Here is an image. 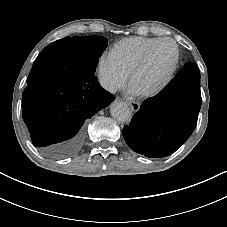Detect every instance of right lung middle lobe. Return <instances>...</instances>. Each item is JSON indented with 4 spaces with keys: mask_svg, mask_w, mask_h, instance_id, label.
Wrapping results in <instances>:
<instances>
[{
    "mask_svg": "<svg viewBox=\"0 0 227 227\" xmlns=\"http://www.w3.org/2000/svg\"><path fill=\"white\" fill-rule=\"evenodd\" d=\"M66 47L59 52L58 65L60 71H66L72 75L84 78H94L98 59L107 47V40L101 36L65 37ZM41 69L32 67L27 78V84L44 79Z\"/></svg>",
    "mask_w": 227,
    "mask_h": 227,
    "instance_id": "obj_1",
    "label": "right lung middle lobe"
}]
</instances>
